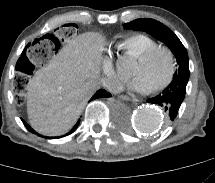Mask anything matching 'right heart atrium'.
<instances>
[{
    "label": "right heart atrium",
    "instance_id": "1",
    "mask_svg": "<svg viewBox=\"0 0 215 183\" xmlns=\"http://www.w3.org/2000/svg\"><path fill=\"white\" fill-rule=\"evenodd\" d=\"M103 69L104 72L108 75L111 83L109 85L110 89H115L120 81V78L116 72L113 58L111 56H104L103 58Z\"/></svg>",
    "mask_w": 215,
    "mask_h": 183
}]
</instances>
